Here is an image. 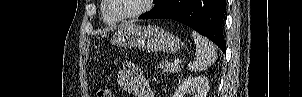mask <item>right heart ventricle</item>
I'll return each mask as SVG.
<instances>
[{
  "mask_svg": "<svg viewBox=\"0 0 302 97\" xmlns=\"http://www.w3.org/2000/svg\"><path fill=\"white\" fill-rule=\"evenodd\" d=\"M102 19L103 22L107 25H116L118 23L117 20L113 19L107 12L106 7L102 8Z\"/></svg>",
  "mask_w": 302,
  "mask_h": 97,
  "instance_id": "right-heart-ventricle-1",
  "label": "right heart ventricle"
}]
</instances>
